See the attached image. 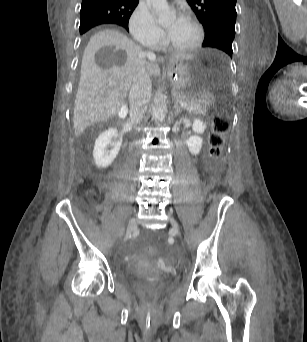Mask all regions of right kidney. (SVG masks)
<instances>
[{"mask_svg": "<svg viewBox=\"0 0 307 342\" xmlns=\"http://www.w3.org/2000/svg\"><path fill=\"white\" fill-rule=\"evenodd\" d=\"M113 138L116 142H113ZM108 144H112V150H107ZM121 146L122 136H119L118 130H115V128H109V130L102 132V134L98 136L93 150V158L96 168H99V170L109 168L112 162H114Z\"/></svg>", "mask_w": 307, "mask_h": 342, "instance_id": "obj_1", "label": "right kidney"}]
</instances>
